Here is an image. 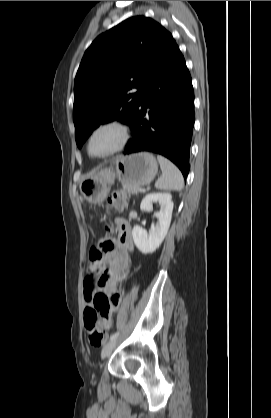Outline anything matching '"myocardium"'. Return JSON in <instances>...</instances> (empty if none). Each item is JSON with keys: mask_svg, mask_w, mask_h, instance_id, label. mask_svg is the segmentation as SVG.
Returning <instances> with one entry per match:
<instances>
[{"mask_svg": "<svg viewBox=\"0 0 271 418\" xmlns=\"http://www.w3.org/2000/svg\"><path fill=\"white\" fill-rule=\"evenodd\" d=\"M106 129H114L119 134V140L117 144L109 149L108 151L100 154H95L92 152L91 145L94 137L101 131ZM130 139V130L127 124H125L121 120H107L103 121L93 127V129L89 132L86 140V150L90 157L102 159L107 158L112 155H115L119 152H121L127 145L128 141Z\"/></svg>", "mask_w": 271, "mask_h": 418, "instance_id": "1", "label": "myocardium"}]
</instances>
